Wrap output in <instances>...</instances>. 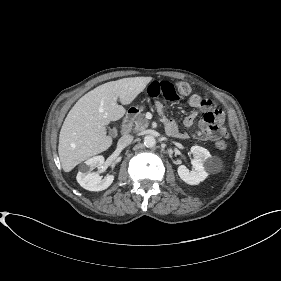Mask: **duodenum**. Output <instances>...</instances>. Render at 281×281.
Listing matches in <instances>:
<instances>
[{
    "label": "duodenum",
    "instance_id": "1",
    "mask_svg": "<svg viewBox=\"0 0 281 281\" xmlns=\"http://www.w3.org/2000/svg\"><path fill=\"white\" fill-rule=\"evenodd\" d=\"M136 115V112L134 110H129L124 119H123V124H122V133H127L133 120H134V117Z\"/></svg>",
    "mask_w": 281,
    "mask_h": 281
}]
</instances>
